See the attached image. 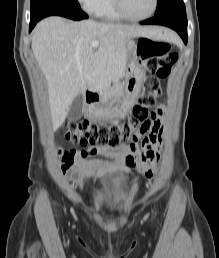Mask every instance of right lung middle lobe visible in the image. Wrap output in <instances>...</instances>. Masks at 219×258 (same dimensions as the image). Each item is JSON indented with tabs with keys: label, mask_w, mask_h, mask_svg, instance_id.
Returning <instances> with one entry per match:
<instances>
[{
	"label": "right lung middle lobe",
	"mask_w": 219,
	"mask_h": 258,
	"mask_svg": "<svg viewBox=\"0 0 219 258\" xmlns=\"http://www.w3.org/2000/svg\"><path fill=\"white\" fill-rule=\"evenodd\" d=\"M59 4L79 6L77 0H31V18L37 16L41 11Z\"/></svg>",
	"instance_id": "right-lung-middle-lobe-1"
}]
</instances>
